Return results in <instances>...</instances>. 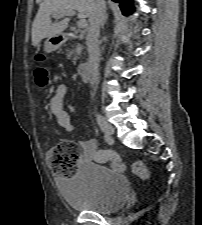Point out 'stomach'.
Here are the masks:
<instances>
[{
  "label": "stomach",
  "mask_w": 202,
  "mask_h": 225,
  "mask_svg": "<svg viewBox=\"0 0 202 225\" xmlns=\"http://www.w3.org/2000/svg\"><path fill=\"white\" fill-rule=\"evenodd\" d=\"M45 49L47 51H52L53 49H55V46L50 42V38L45 43Z\"/></svg>",
  "instance_id": "1"
}]
</instances>
